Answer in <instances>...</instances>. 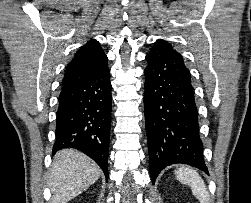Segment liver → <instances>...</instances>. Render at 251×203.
<instances>
[{
    "mask_svg": "<svg viewBox=\"0 0 251 203\" xmlns=\"http://www.w3.org/2000/svg\"><path fill=\"white\" fill-rule=\"evenodd\" d=\"M100 175V168L85 154L73 149L59 151L48 182L53 194L52 203H66L77 197Z\"/></svg>",
    "mask_w": 251,
    "mask_h": 203,
    "instance_id": "1",
    "label": "liver"
}]
</instances>
